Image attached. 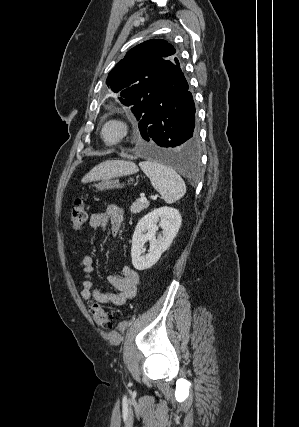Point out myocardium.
Wrapping results in <instances>:
<instances>
[{
  "label": "myocardium",
  "mask_w": 299,
  "mask_h": 427,
  "mask_svg": "<svg viewBox=\"0 0 299 427\" xmlns=\"http://www.w3.org/2000/svg\"><path fill=\"white\" fill-rule=\"evenodd\" d=\"M110 124H114L118 128L117 137L112 141H108L105 138V129ZM130 132H131V127H130L129 122L124 117L115 115V116H110V117L106 118L105 120H103V122L100 125L99 136H100L101 141L105 145L117 146V145L121 144L122 142H124L128 138V136L130 135Z\"/></svg>",
  "instance_id": "myocardium-1"
}]
</instances>
